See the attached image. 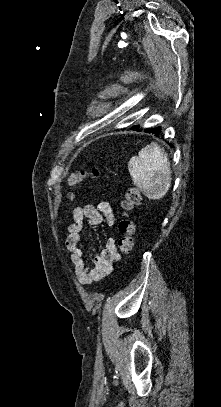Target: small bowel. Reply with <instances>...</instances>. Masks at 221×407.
Here are the masks:
<instances>
[{"instance_id":"1","label":"small bowel","mask_w":221,"mask_h":407,"mask_svg":"<svg viewBox=\"0 0 221 407\" xmlns=\"http://www.w3.org/2000/svg\"><path fill=\"white\" fill-rule=\"evenodd\" d=\"M72 223L66 226L68 233L65 246L69 253L70 261L74 265V278L80 284L90 285L102 280L108 275L116 261L119 259L114 238L107 240L106 247L94 258L91 267L85 259V254L81 248V232L86 226H95L102 222L108 228H113L116 222V212L114 207L107 201H101L97 206L90 203L77 205L72 208ZM85 219H87L85 221Z\"/></svg>"}]
</instances>
